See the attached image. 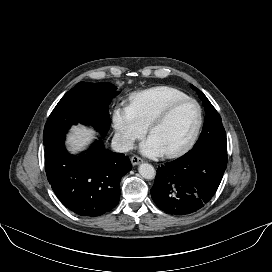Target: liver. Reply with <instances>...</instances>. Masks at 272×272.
Returning <instances> with one entry per match:
<instances>
[{
  "instance_id": "1",
  "label": "liver",
  "mask_w": 272,
  "mask_h": 272,
  "mask_svg": "<svg viewBox=\"0 0 272 272\" xmlns=\"http://www.w3.org/2000/svg\"><path fill=\"white\" fill-rule=\"evenodd\" d=\"M94 133L93 130L84 126L74 127L68 139L70 150L73 153L81 150L85 145L90 143Z\"/></svg>"
}]
</instances>
